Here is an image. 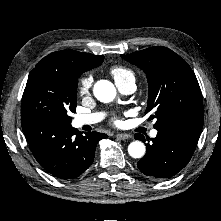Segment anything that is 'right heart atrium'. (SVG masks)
<instances>
[{
    "label": "right heart atrium",
    "instance_id": "d8ad5b80",
    "mask_svg": "<svg viewBox=\"0 0 221 221\" xmlns=\"http://www.w3.org/2000/svg\"><path fill=\"white\" fill-rule=\"evenodd\" d=\"M92 86V77L90 75H84L80 78L78 82V93L81 96H86L89 94Z\"/></svg>",
    "mask_w": 221,
    "mask_h": 221
}]
</instances>
